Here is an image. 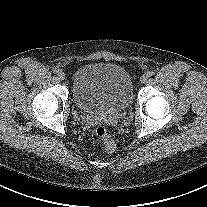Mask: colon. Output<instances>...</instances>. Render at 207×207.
<instances>
[{
  "label": "colon",
  "instance_id": "1",
  "mask_svg": "<svg viewBox=\"0 0 207 207\" xmlns=\"http://www.w3.org/2000/svg\"><path fill=\"white\" fill-rule=\"evenodd\" d=\"M95 135L102 141L104 153L111 154L114 152L115 142L104 125L96 126Z\"/></svg>",
  "mask_w": 207,
  "mask_h": 207
}]
</instances>
